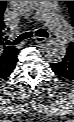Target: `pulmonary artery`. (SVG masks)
<instances>
[{
	"instance_id": "obj_1",
	"label": "pulmonary artery",
	"mask_w": 74,
	"mask_h": 122,
	"mask_svg": "<svg viewBox=\"0 0 74 122\" xmlns=\"http://www.w3.org/2000/svg\"><path fill=\"white\" fill-rule=\"evenodd\" d=\"M35 18L45 21L58 40L67 41L72 37V30L60 15L56 1H40Z\"/></svg>"
}]
</instances>
